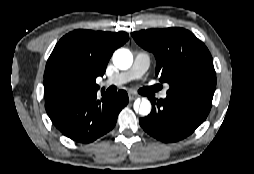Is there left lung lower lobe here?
Returning a JSON list of instances; mask_svg holds the SVG:
<instances>
[{"instance_id":"obj_1","label":"left lung lower lobe","mask_w":254,"mask_h":174,"mask_svg":"<svg viewBox=\"0 0 254 174\" xmlns=\"http://www.w3.org/2000/svg\"><path fill=\"white\" fill-rule=\"evenodd\" d=\"M151 113L139 119L141 127L165 143L182 140L192 134L208 116L211 105L191 97L167 96L150 99Z\"/></svg>"}]
</instances>
